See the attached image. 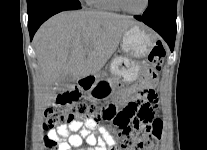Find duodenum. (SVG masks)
I'll list each match as a JSON object with an SVG mask.
<instances>
[{"label": "duodenum", "instance_id": "1", "mask_svg": "<svg viewBox=\"0 0 207 150\" xmlns=\"http://www.w3.org/2000/svg\"><path fill=\"white\" fill-rule=\"evenodd\" d=\"M79 82L83 87H90L94 82V78L91 75H86L82 77Z\"/></svg>", "mask_w": 207, "mask_h": 150}]
</instances>
